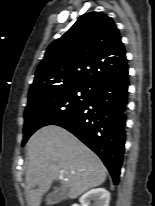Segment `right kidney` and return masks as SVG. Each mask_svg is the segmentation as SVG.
<instances>
[{
	"mask_svg": "<svg viewBox=\"0 0 155 206\" xmlns=\"http://www.w3.org/2000/svg\"><path fill=\"white\" fill-rule=\"evenodd\" d=\"M90 200H94L95 206H109L110 193L104 188L91 189L80 197V205L72 206H88Z\"/></svg>",
	"mask_w": 155,
	"mask_h": 206,
	"instance_id": "obj_1",
	"label": "right kidney"
}]
</instances>
